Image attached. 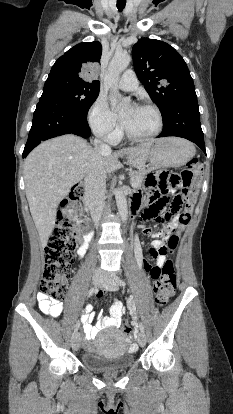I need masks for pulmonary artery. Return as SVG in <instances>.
<instances>
[{"label":"pulmonary artery","instance_id":"pulmonary-artery-1","mask_svg":"<svg viewBox=\"0 0 233 414\" xmlns=\"http://www.w3.org/2000/svg\"><path fill=\"white\" fill-rule=\"evenodd\" d=\"M121 89L126 91H133L137 89L139 82L135 72L131 69L126 70L118 81Z\"/></svg>","mask_w":233,"mask_h":414}]
</instances>
